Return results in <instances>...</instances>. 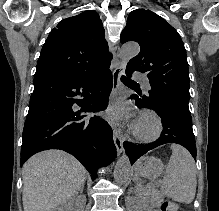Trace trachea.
I'll return each mask as SVG.
<instances>
[{
  "instance_id": "obj_1",
  "label": "trachea",
  "mask_w": 219,
  "mask_h": 211,
  "mask_svg": "<svg viewBox=\"0 0 219 211\" xmlns=\"http://www.w3.org/2000/svg\"><path fill=\"white\" fill-rule=\"evenodd\" d=\"M121 81H123L126 85L136 84V82H133V80H130V78H127L126 76H121Z\"/></svg>"
}]
</instances>
